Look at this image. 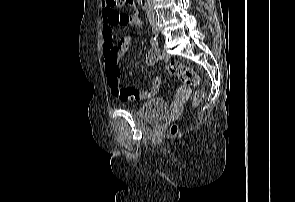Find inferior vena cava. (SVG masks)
<instances>
[{"mask_svg":"<svg viewBox=\"0 0 295 202\" xmlns=\"http://www.w3.org/2000/svg\"><path fill=\"white\" fill-rule=\"evenodd\" d=\"M147 1V6H146V14L149 20H154L155 19V13L152 7V0H146Z\"/></svg>","mask_w":295,"mask_h":202,"instance_id":"obj_1","label":"inferior vena cava"}]
</instances>
